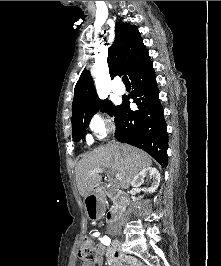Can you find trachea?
Wrapping results in <instances>:
<instances>
[{
	"instance_id": "3493384b",
	"label": "trachea",
	"mask_w": 221,
	"mask_h": 266,
	"mask_svg": "<svg viewBox=\"0 0 221 266\" xmlns=\"http://www.w3.org/2000/svg\"><path fill=\"white\" fill-rule=\"evenodd\" d=\"M122 81H123L124 84H130V81H129L127 76H123L122 77Z\"/></svg>"
}]
</instances>
